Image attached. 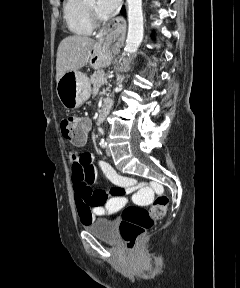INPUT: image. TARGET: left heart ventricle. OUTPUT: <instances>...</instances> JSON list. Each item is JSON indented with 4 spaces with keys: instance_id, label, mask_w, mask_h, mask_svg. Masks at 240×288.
I'll list each match as a JSON object with an SVG mask.
<instances>
[{
    "instance_id": "obj_1",
    "label": "left heart ventricle",
    "mask_w": 240,
    "mask_h": 288,
    "mask_svg": "<svg viewBox=\"0 0 240 288\" xmlns=\"http://www.w3.org/2000/svg\"><path fill=\"white\" fill-rule=\"evenodd\" d=\"M87 2L95 8L96 0H87Z\"/></svg>"
}]
</instances>
